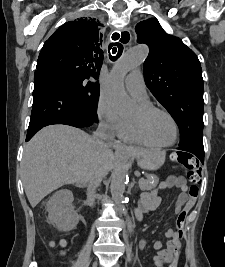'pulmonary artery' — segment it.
Wrapping results in <instances>:
<instances>
[{
    "label": "pulmonary artery",
    "instance_id": "e3ab8cb5",
    "mask_svg": "<svg viewBox=\"0 0 225 267\" xmlns=\"http://www.w3.org/2000/svg\"><path fill=\"white\" fill-rule=\"evenodd\" d=\"M128 92L139 102H146L148 99L146 86L141 71H132L124 80Z\"/></svg>",
    "mask_w": 225,
    "mask_h": 267
}]
</instances>
